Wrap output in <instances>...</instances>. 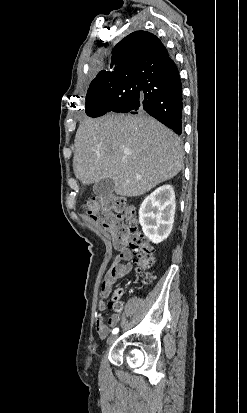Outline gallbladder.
Masks as SVG:
<instances>
[{
	"label": "gallbladder",
	"mask_w": 247,
	"mask_h": 413,
	"mask_svg": "<svg viewBox=\"0 0 247 413\" xmlns=\"http://www.w3.org/2000/svg\"><path fill=\"white\" fill-rule=\"evenodd\" d=\"M115 186V182L113 178L107 176V178H102L99 182H96L93 186V192L100 196V198H104V196H109L111 192H113Z\"/></svg>",
	"instance_id": "obj_1"
}]
</instances>
